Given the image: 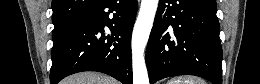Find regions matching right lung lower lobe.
Masks as SVG:
<instances>
[{
	"instance_id": "right-lung-lower-lobe-1",
	"label": "right lung lower lobe",
	"mask_w": 260,
	"mask_h": 84,
	"mask_svg": "<svg viewBox=\"0 0 260 84\" xmlns=\"http://www.w3.org/2000/svg\"><path fill=\"white\" fill-rule=\"evenodd\" d=\"M137 5V0H99L53 34L50 83L77 72L98 71L132 84L131 35ZM105 26L111 34L105 35Z\"/></svg>"
}]
</instances>
